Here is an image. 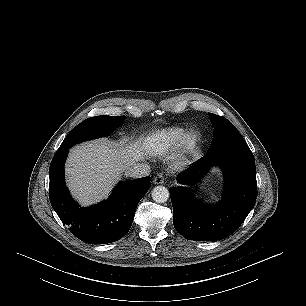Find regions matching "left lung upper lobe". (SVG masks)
I'll list each match as a JSON object with an SVG mask.
<instances>
[{
  "label": "left lung upper lobe",
  "mask_w": 306,
  "mask_h": 306,
  "mask_svg": "<svg viewBox=\"0 0 306 306\" xmlns=\"http://www.w3.org/2000/svg\"><path fill=\"white\" fill-rule=\"evenodd\" d=\"M214 127L213 139L208 151H214L230 146L247 145L235 126L222 116L209 113Z\"/></svg>",
  "instance_id": "left-lung-upper-lobe-1"
}]
</instances>
